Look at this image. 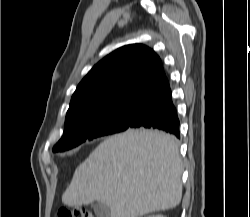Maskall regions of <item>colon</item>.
Returning <instances> with one entry per match:
<instances>
[{
	"instance_id": "1",
	"label": "colon",
	"mask_w": 250,
	"mask_h": 217,
	"mask_svg": "<svg viewBox=\"0 0 250 217\" xmlns=\"http://www.w3.org/2000/svg\"><path fill=\"white\" fill-rule=\"evenodd\" d=\"M57 217H93L92 214L84 208H65L58 212Z\"/></svg>"
}]
</instances>
